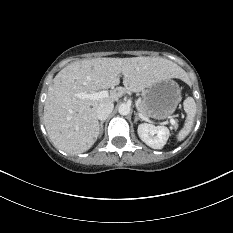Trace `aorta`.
I'll return each instance as SVG.
<instances>
[{"label": "aorta", "instance_id": "aorta-1", "mask_svg": "<svg viewBox=\"0 0 233 233\" xmlns=\"http://www.w3.org/2000/svg\"><path fill=\"white\" fill-rule=\"evenodd\" d=\"M118 112L120 115L126 116L130 113V106L126 103L119 105Z\"/></svg>", "mask_w": 233, "mask_h": 233}]
</instances>
